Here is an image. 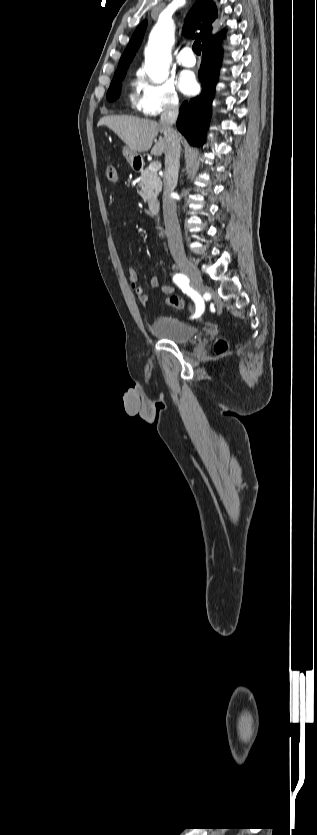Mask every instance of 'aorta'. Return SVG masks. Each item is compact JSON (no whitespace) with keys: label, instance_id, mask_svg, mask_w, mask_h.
I'll return each instance as SVG.
<instances>
[{"label":"aorta","instance_id":"1","mask_svg":"<svg viewBox=\"0 0 317 835\" xmlns=\"http://www.w3.org/2000/svg\"><path fill=\"white\" fill-rule=\"evenodd\" d=\"M174 26L171 21L160 19L152 29L145 49V71L154 83H162L169 76L174 44Z\"/></svg>","mask_w":317,"mask_h":835}]
</instances>
